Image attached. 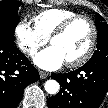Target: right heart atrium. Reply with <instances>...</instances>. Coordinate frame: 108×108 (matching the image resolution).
<instances>
[{
  "label": "right heart atrium",
  "mask_w": 108,
  "mask_h": 108,
  "mask_svg": "<svg viewBox=\"0 0 108 108\" xmlns=\"http://www.w3.org/2000/svg\"><path fill=\"white\" fill-rule=\"evenodd\" d=\"M14 36L19 49L29 56L36 54L48 40L26 20H21L16 24Z\"/></svg>",
  "instance_id": "obj_1"
}]
</instances>
